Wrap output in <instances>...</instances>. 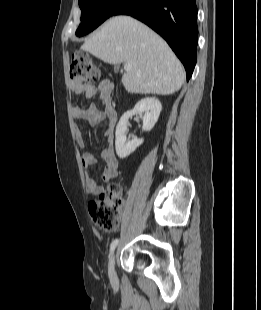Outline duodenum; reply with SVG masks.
I'll return each mask as SVG.
<instances>
[{"mask_svg":"<svg viewBox=\"0 0 261 310\" xmlns=\"http://www.w3.org/2000/svg\"><path fill=\"white\" fill-rule=\"evenodd\" d=\"M113 119L116 121V119H117V114H114Z\"/></svg>","mask_w":261,"mask_h":310,"instance_id":"1","label":"duodenum"}]
</instances>
